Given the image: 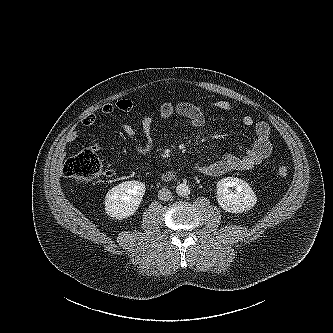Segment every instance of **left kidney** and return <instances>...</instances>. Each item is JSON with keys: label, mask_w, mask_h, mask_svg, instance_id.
Returning a JSON list of instances; mask_svg holds the SVG:
<instances>
[{"label": "left kidney", "mask_w": 333, "mask_h": 333, "mask_svg": "<svg viewBox=\"0 0 333 333\" xmlns=\"http://www.w3.org/2000/svg\"><path fill=\"white\" fill-rule=\"evenodd\" d=\"M217 202L226 212L241 213L254 207L257 197L247 182L227 177L217 183Z\"/></svg>", "instance_id": "obj_1"}]
</instances>
